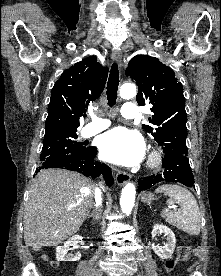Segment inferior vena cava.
<instances>
[{
    "mask_svg": "<svg viewBox=\"0 0 221 276\" xmlns=\"http://www.w3.org/2000/svg\"><path fill=\"white\" fill-rule=\"evenodd\" d=\"M102 192L101 189L98 188L96 195H95V203H94V212L100 214L102 211Z\"/></svg>",
    "mask_w": 221,
    "mask_h": 276,
    "instance_id": "602c4592",
    "label": "inferior vena cava"
}]
</instances>
